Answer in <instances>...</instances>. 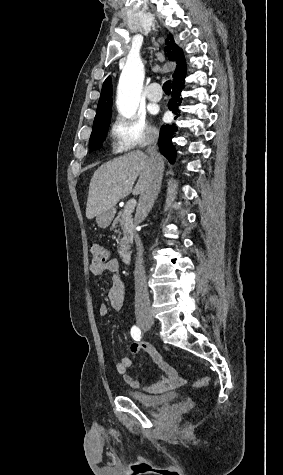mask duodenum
Segmentation results:
<instances>
[{"instance_id": "1", "label": "duodenum", "mask_w": 283, "mask_h": 475, "mask_svg": "<svg viewBox=\"0 0 283 475\" xmlns=\"http://www.w3.org/2000/svg\"><path fill=\"white\" fill-rule=\"evenodd\" d=\"M121 260L124 263H129L131 261V253L129 251H123L121 253Z\"/></svg>"}]
</instances>
